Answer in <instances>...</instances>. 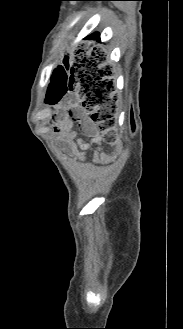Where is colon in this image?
<instances>
[{"mask_svg":"<svg viewBox=\"0 0 183 329\" xmlns=\"http://www.w3.org/2000/svg\"><path fill=\"white\" fill-rule=\"evenodd\" d=\"M82 45L72 55L48 56V61H58V81H49L46 93L48 103H63V109H86L91 112L92 120L104 134L105 141L113 144L115 133V104L110 98L112 81L100 73H117V66H102L103 62H113V55H92L86 44L89 37L81 38ZM50 65V64H49ZM51 68V67H50Z\"/></svg>","mask_w":183,"mask_h":329,"instance_id":"obj_1","label":"colon"}]
</instances>
